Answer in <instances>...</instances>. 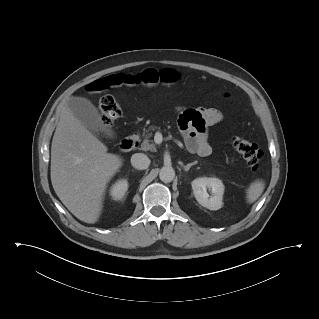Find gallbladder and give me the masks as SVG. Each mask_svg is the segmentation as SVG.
Here are the masks:
<instances>
[{
	"instance_id": "gallbladder-1",
	"label": "gallbladder",
	"mask_w": 319,
	"mask_h": 319,
	"mask_svg": "<svg viewBox=\"0 0 319 319\" xmlns=\"http://www.w3.org/2000/svg\"><path fill=\"white\" fill-rule=\"evenodd\" d=\"M70 111L93 133H103L113 137L114 133L110 126L104 124L98 109L86 98L70 97L67 101Z\"/></svg>"
}]
</instances>
